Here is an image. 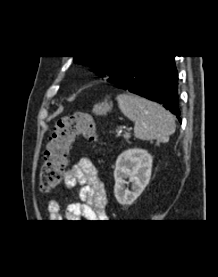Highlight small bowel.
<instances>
[{
  "mask_svg": "<svg viewBox=\"0 0 218 277\" xmlns=\"http://www.w3.org/2000/svg\"><path fill=\"white\" fill-rule=\"evenodd\" d=\"M79 185L80 202L70 203L65 215L61 213V205L56 199L48 201V216L50 220L59 222L66 220H103L107 203L106 190L99 180L93 162L87 157H80L78 161L66 172L64 185L71 188Z\"/></svg>",
  "mask_w": 218,
  "mask_h": 277,
  "instance_id": "small-bowel-1",
  "label": "small bowel"
}]
</instances>
